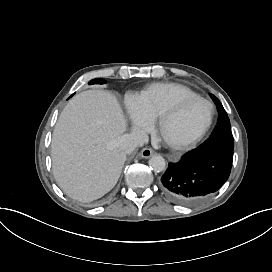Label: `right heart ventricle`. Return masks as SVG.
<instances>
[{
	"instance_id": "obj_1",
	"label": "right heart ventricle",
	"mask_w": 272,
	"mask_h": 272,
	"mask_svg": "<svg viewBox=\"0 0 272 272\" xmlns=\"http://www.w3.org/2000/svg\"><path fill=\"white\" fill-rule=\"evenodd\" d=\"M194 95V91L182 85L156 84L137 98L134 111L146 118H158L164 113L171 114L174 105L182 98Z\"/></svg>"
}]
</instances>
